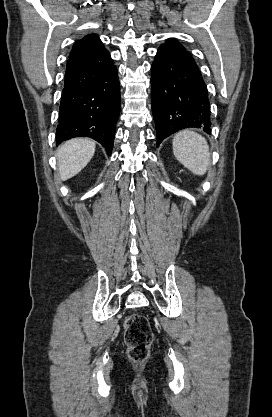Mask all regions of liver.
Masks as SVG:
<instances>
[{
	"label": "liver",
	"instance_id": "obj_1",
	"mask_svg": "<svg viewBox=\"0 0 272 417\" xmlns=\"http://www.w3.org/2000/svg\"><path fill=\"white\" fill-rule=\"evenodd\" d=\"M95 147V142L88 138L63 143L56 153L60 179L65 181L78 174L92 159Z\"/></svg>",
	"mask_w": 272,
	"mask_h": 417
}]
</instances>
